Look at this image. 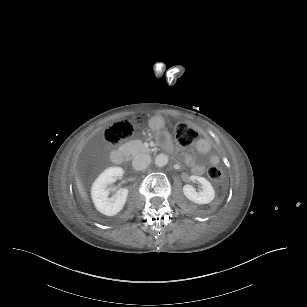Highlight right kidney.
Returning a JSON list of instances; mask_svg holds the SVG:
<instances>
[{"mask_svg": "<svg viewBox=\"0 0 307 307\" xmlns=\"http://www.w3.org/2000/svg\"><path fill=\"white\" fill-rule=\"evenodd\" d=\"M124 170L121 167H109L105 169L94 181L91 187V198L95 208L102 214L113 216L120 212L128 196L127 188H120L116 194L109 198L107 185L117 181L122 177Z\"/></svg>", "mask_w": 307, "mask_h": 307, "instance_id": "obj_1", "label": "right kidney"}]
</instances>
